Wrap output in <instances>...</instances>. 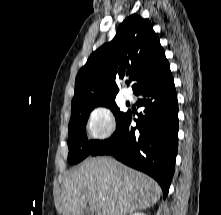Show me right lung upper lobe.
Listing matches in <instances>:
<instances>
[{"label":"right lung upper lobe","mask_w":221,"mask_h":215,"mask_svg":"<svg viewBox=\"0 0 221 215\" xmlns=\"http://www.w3.org/2000/svg\"><path fill=\"white\" fill-rule=\"evenodd\" d=\"M169 71L168 60L150 21L133 14L119 25L113 41L94 51L79 70L71 105L115 99L116 74L120 79L129 76L135 93Z\"/></svg>","instance_id":"obj_1"}]
</instances>
